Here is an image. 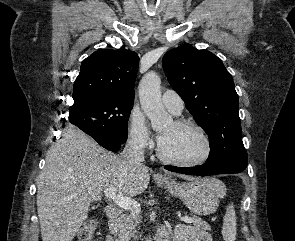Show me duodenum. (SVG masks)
<instances>
[{"mask_svg": "<svg viewBox=\"0 0 295 241\" xmlns=\"http://www.w3.org/2000/svg\"><path fill=\"white\" fill-rule=\"evenodd\" d=\"M106 216L109 220L112 222H116L117 219L119 218V210L115 206H107L106 207ZM112 234L113 237H111V241H123V239L119 238L116 233L114 228L112 227ZM156 241H169V237L167 234L162 233L160 236L156 238Z\"/></svg>", "mask_w": 295, "mask_h": 241, "instance_id": "duodenum-1", "label": "duodenum"}]
</instances>
